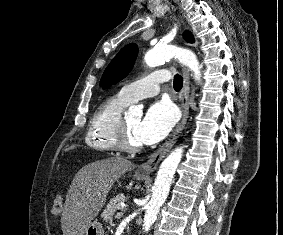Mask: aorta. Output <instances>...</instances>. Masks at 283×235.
I'll return each mask as SVG.
<instances>
[{
  "label": "aorta",
  "mask_w": 283,
  "mask_h": 235,
  "mask_svg": "<svg viewBox=\"0 0 283 235\" xmlns=\"http://www.w3.org/2000/svg\"><path fill=\"white\" fill-rule=\"evenodd\" d=\"M177 58L180 63L186 65L194 74V79L200 81L201 71L199 62L193 52L187 49L179 48L173 45L156 46L149 50L144 61L149 67H156L161 63ZM141 116L142 110L138 106L130 107L126 116ZM183 155V147L174 149L161 163L155 182L152 188V196L147 204L146 212L143 220V231L148 232L155 222L159 209L165 202L175 171L181 161Z\"/></svg>",
  "instance_id": "762f6f07"
}]
</instances>
